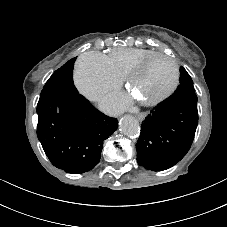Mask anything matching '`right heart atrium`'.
<instances>
[{
  "mask_svg": "<svg viewBox=\"0 0 227 227\" xmlns=\"http://www.w3.org/2000/svg\"><path fill=\"white\" fill-rule=\"evenodd\" d=\"M74 80L80 92L94 101L122 84V77L112 69L107 56L98 51L85 52L79 58Z\"/></svg>",
  "mask_w": 227,
  "mask_h": 227,
  "instance_id": "obj_1",
  "label": "right heart atrium"
}]
</instances>
